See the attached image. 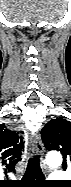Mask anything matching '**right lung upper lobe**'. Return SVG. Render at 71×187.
<instances>
[{
    "mask_svg": "<svg viewBox=\"0 0 71 187\" xmlns=\"http://www.w3.org/2000/svg\"><path fill=\"white\" fill-rule=\"evenodd\" d=\"M22 137L16 131L0 125V157L5 169L15 172V165L20 161V155L24 147Z\"/></svg>",
    "mask_w": 71,
    "mask_h": 187,
    "instance_id": "cb5924a9",
    "label": "right lung upper lobe"
}]
</instances>
